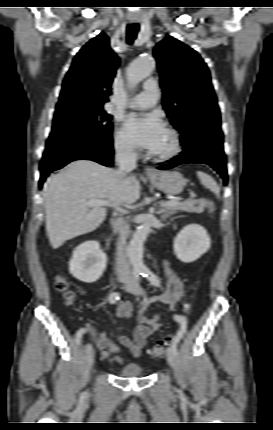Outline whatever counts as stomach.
Instances as JSON below:
<instances>
[{
  "label": "stomach",
  "mask_w": 273,
  "mask_h": 430,
  "mask_svg": "<svg viewBox=\"0 0 273 430\" xmlns=\"http://www.w3.org/2000/svg\"><path fill=\"white\" fill-rule=\"evenodd\" d=\"M149 179L155 188L171 195L181 193L186 184L184 177L177 171H157L149 175Z\"/></svg>",
  "instance_id": "obj_1"
}]
</instances>
